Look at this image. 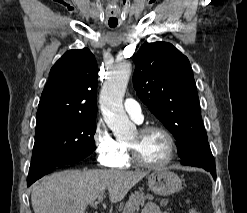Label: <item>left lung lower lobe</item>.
I'll use <instances>...</instances> for the list:
<instances>
[{
  "mask_svg": "<svg viewBox=\"0 0 247 213\" xmlns=\"http://www.w3.org/2000/svg\"><path fill=\"white\" fill-rule=\"evenodd\" d=\"M182 164L204 168L216 179L215 160L210 150L208 140L198 141L192 150L182 158Z\"/></svg>",
  "mask_w": 247,
  "mask_h": 213,
  "instance_id": "left-lung-lower-lobe-1",
  "label": "left lung lower lobe"
}]
</instances>
